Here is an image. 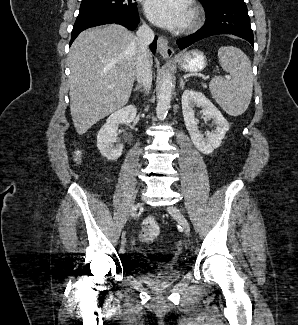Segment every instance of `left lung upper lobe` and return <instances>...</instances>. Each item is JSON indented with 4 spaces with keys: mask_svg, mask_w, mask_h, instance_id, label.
I'll use <instances>...</instances> for the list:
<instances>
[{
    "mask_svg": "<svg viewBox=\"0 0 298 325\" xmlns=\"http://www.w3.org/2000/svg\"><path fill=\"white\" fill-rule=\"evenodd\" d=\"M199 1L204 4L206 9H209V8H211L217 4H220L226 0H199Z\"/></svg>",
    "mask_w": 298,
    "mask_h": 325,
    "instance_id": "obj_1",
    "label": "left lung upper lobe"
}]
</instances>
